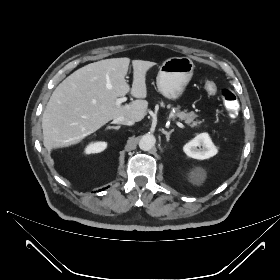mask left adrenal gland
Instances as JSON below:
<instances>
[{"mask_svg": "<svg viewBox=\"0 0 280 280\" xmlns=\"http://www.w3.org/2000/svg\"><path fill=\"white\" fill-rule=\"evenodd\" d=\"M173 131H174V129L170 130L169 132L166 131V130H164V129H162V133L166 135V140H167V142H169V140H170V135L172 134Z\"/></svg>", "mask_w": 280, "mask_h": 280, "instance_id": "left-adrenal-gland-1", "label": "left adrenal gland"}]
</instances>
